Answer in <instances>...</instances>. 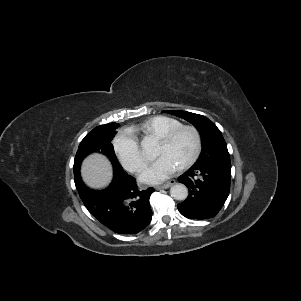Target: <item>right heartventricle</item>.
I'll list each match as a JSON object with an SVG mask.
<instances>
[{
  "label": "right heart ventricle",
  "instance_id": "right-heart-ventricle-1",
  "mask_svg": "<svg viewBox=\"0 0 301 301\" xmlns=\"http://www.w3.org/2000/svg\"><path fill=\"white\" fill-rule=\"evenodd\" d=\"M181 125L182 123L175 118L159 115L148 118L129 130L135 135L160 137Z\"/></svg>",
  "mask_w": 301,
  "mask_h": 301
}]
</instances>
